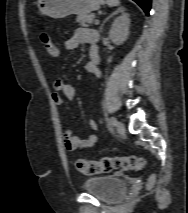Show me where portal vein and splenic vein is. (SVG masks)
Returning a JSON list of instances; mask_svg holds the SVG:
<instances>
[{"instance_id":"portal-vein-and-splenic-vein-1","label":"portal vein and splenic vein","mask_w":188,"mask_h":213,"mask_svg":"<svg viewBox=\"0 0 188 213\" xmlns=\"http://www.w3.org/2000/svg\"><path fill=\"white\" fill-rule=\"evenodd\" d=\"M95 24H99V20L98 19L95 20Z\"/></svg>"}]
</instances>
